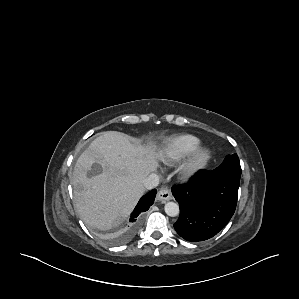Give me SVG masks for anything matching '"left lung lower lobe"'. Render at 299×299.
Returning <instances> with one entry per match:
<instances>
[{"mask_svg": "<svg viewBox=\"0 0 299 299\" xmlns=\"http://www.w3.org/2000/svg\"><path fill=\"white\" fill-rule=\"evenodd\" d=\"M240 178L201 170L187 184L174 186L173 196L180 206L174 224L187 241H204L221 231L233 216Z\"/></svg>", "mask_w": 299, "mask_h": 299, "instance_id": "left-lung-lower-lobe-1", "label": "left lung lower lobe"}]
</instances>
